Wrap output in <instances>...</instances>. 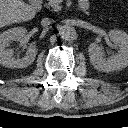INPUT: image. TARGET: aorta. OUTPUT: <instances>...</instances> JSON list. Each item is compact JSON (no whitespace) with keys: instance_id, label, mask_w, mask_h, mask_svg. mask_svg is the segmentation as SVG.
<instances>
[{"instance_id":"obj_1","label":"aorta","mask_w":128,"mask_h":128,"mask_svg":"<svg viewBox=\"0 0 128 128\" xmlns=\"http://www.w3.org/2000/svg\"><path fill=\"white\" fill-rule=\"evenodd\" d=\"M59 34L62 39L70 40L75 36V29L68 25H63L59 28Z\"/></svg>"}]
</instances>
